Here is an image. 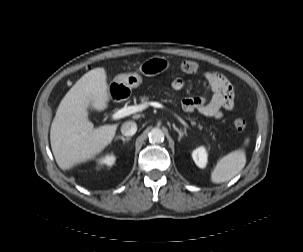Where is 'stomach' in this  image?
I'll return each mask as SVG.
<instances>
[{
  "label": "stomach",
  "mask_w": 303,
  "mask_h": 252,
  "mask_svg": "<svg viewBox=\"0 0 303 252\" xmlns=\"http://www.w3.org/2000/svg\"><path fill=\"white\" fill-rule=\"evenodd\" d=\"M169 66L170 63L165 57L154 56L143 61L139 66V71L145 76L152 77L165 72ZM141 83L142 77L140 74L136 72L125 73L117 75L110 87H124L131 90L137 88Z\"/></svg>",
  "instance_id": "stomach-1"
}]
</instances>
